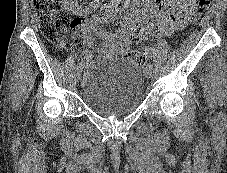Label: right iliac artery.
Listing matches in <instances>:
<instances>
[{
	"instance_id": "obj_1",
	"label": "right iliac artery",
	"mask_w": 227,
	"mask_h": 173,
	"mask_svg": "<svg viewBox=\"0 0 227 173\" xmlns=\"http://www.w3.org/2000/svg\"><path fill=\"white\" fill-rule=\"evenodd\" d=\"M83 67H84V64L82 62L78 63V65H77L78 69H83Z\"/></svg>"
}]
</instances>
